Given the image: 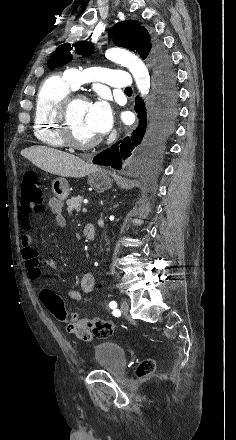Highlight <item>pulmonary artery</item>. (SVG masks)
Instances as JSON below:
<instances>
[{
    "label": "pulmonary artery",
    "mask_w": 236,
    "mask_h": 440,
    "mask_svg": "<svg viewBox=\"0 0 236 440\" xmlns=\"http://www.w3.org/2000/svg\"><path fill=\"white\" fill-rule=\"evenodd\" d=\"M65 77L71 83L73 88L79 87L82 83L90 79H98L112 88H120L124 90L132 88L133 85V81L127 72L105 67L86 70L71 68L66 72Z\"/></svg>",
    "instance_id": "obj_1"
}]
</instances>
